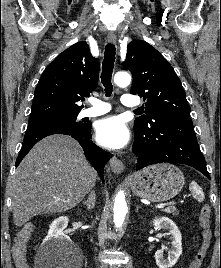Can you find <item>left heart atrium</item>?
Instances as JSON below:
<instances>
[{
  "label": "left heart atrium",
  "mask_w": 221,
  "mask_h": 268,
  "mask_svg": "<svg viewBox=\"0 0 221 268\" xmlns=\"http://www.w3.org/2000/svg\"><path fill=\"white\" fill-rule=\"evenodd\" d=\"M96 141L109 149L123 148L130 139V132L124 121L111 116L100 120L95 129Z\"/></svg>",
  "instance_id": "1"
}]
</instances>
